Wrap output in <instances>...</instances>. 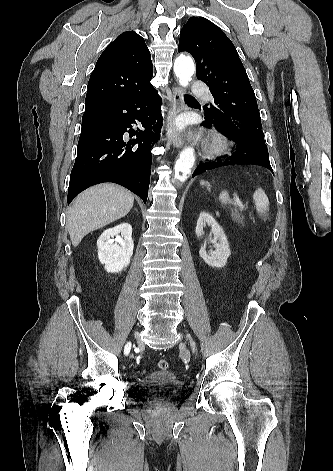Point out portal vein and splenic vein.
I'll list each match as a JSON object with an SVG mask.
<instances>
[{"mask_svg": "<svg viewBox=\"0 0 333 471\" xmlns=\"http://www.w3.org/2000/svg\"><path fill=\"white\" fill-rule=\"evenodd\" d=\"M234 201L236 206H238L239 208H243V204L237 196L235 197Z\"/></svg>", "mask_w": 333, "mask_h": 471, "instance_id": "18ae733b", "label": "portal vein and splenic vein"}]
</instances>
